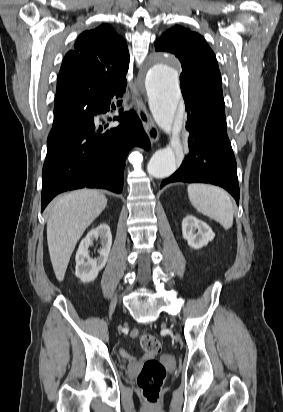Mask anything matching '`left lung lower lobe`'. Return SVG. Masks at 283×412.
Instances as JSON below:
<instances>
[{"mask_svg":"<svg viewBox=\"0 0 283 412\" xmlns=\"http://www.w3.org/2000/svg\"><path fill=\"white\" fill-rule=\"evenodd\" d=\"M188 148L180 168L161 183L201 182L226 189L239 204L235 156L227 136L226 120L211 119L196 106L186 104Z\"/></svg>","mask_w":283,"mask_h":412,"instance_id":"obj_1","label":"left lung lower lobe"}]
</instances>
